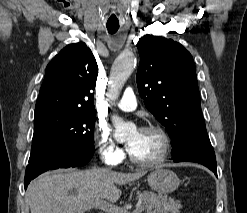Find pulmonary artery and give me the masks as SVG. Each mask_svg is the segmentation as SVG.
<instances>
[{
	"label": "pulmonary artery",
	"mask_w": 247,
	"mask_h": 213,
	"mask_svg": "<svg viewBox=\"0 0 247 213\" xmlns=\"http://www.w3.org/2000/svg\"><path fill=\"white\" fill-rule=\"evenodd\" d=\"M117 106L123 111H133L136 109L137 101L133 88L128 87L125 89L123 97Z\"/></svg>",
	"instance_id": "1"
}]
</instances>
